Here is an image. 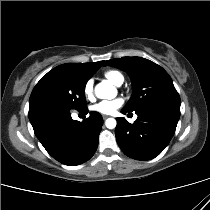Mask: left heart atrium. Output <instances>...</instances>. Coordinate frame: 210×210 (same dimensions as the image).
<instances>
[{
    "label": "left heart atrium",
    "mask_w": 210,
    "mask_h": 210,
    "mask_svg": "<svg viewBox=\"0 0 210 210\" xmlns=\"http://www.w3.org/2000/svg\"><path fill=\"white\" fill-rule=\"evenodd\" d=\"M122 100L121 99H113V100H102L93 104L90 109L93 112L102 114V115H111L115 113V111L121 107Z\"/></svg>",
    "instance_id": "obj_1"
}]
</instances>
